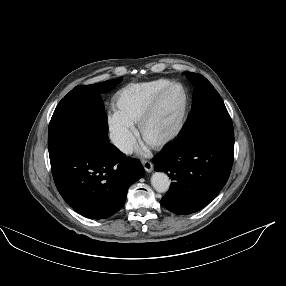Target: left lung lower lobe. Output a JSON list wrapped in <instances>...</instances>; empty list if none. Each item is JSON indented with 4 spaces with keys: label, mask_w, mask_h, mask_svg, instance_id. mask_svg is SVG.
<instances>
[{
    "label": "left lung lower lobe",
    "mask_w": 286,
    "mask_h": 286,
    "mask_svg": "<svg viewBox=\"0 0 286 286\" xmlns=\"http://www.w3.org/2000/svg\"><path fill=\"white\" fill-rule=\"evenodd\" d=\"M234 136H211L177 142L153 158L154 169L174 180L163 205L186 215L208 205L226 184L233 163Z\"/></svg>",
    "instance_id": "obj_1"
}]
</instances>
